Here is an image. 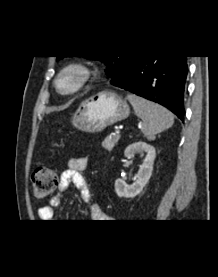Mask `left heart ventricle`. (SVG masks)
Here are the masks:
<instances>
[{
  "label": "left heart ventricle",
  "instance_id": "b2bd125f",
  "mask_svg": "<svg viewBox=\"0 0 218 277\" xmlns=\"http://www.w3.org/2000/svg\"><path fill=\"white\" fill-rule=\"evenodd\" d=\"M70 83H71V80H69V79H67V80L64 81V85H65V86L70 85Z\"/></svg>",
  "mask_w": 218,
  "mask_h": 277
}]
</instances>
